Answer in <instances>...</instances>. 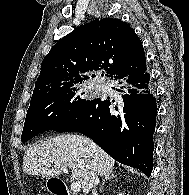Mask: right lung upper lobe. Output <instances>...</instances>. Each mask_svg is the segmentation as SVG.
I'll list each match as a JSON object with an SVG mask.
<instances>
[{"label": "right lung upper lobe", "instance_id": "right-lung-upper-lobe-1", "mask_svg": "<svg viewBox=\"0 0 189 195\" xmlns=\"http://www.w3.org/2000/svg\"><path fill=\"white\" fill-rule=\"evenodd\" d=\"M144 67V49L134 30L119 19H97L52 47L42 61L31 102L76 86L87 78L85 72L104 68L109 77L115 78L120 71Z\"/></svg>", "mask_w": 189, "mask_h": 195}]
</instances>
